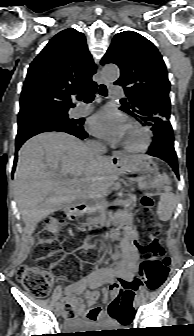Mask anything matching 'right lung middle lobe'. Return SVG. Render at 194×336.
Masks as SVG:
<instances>
[{"mask_svg":"<svg viewBox=\"0 0 194 336\" xmlns=\"http://www.w3.org/2000/svg\"><path fill=\"white\" fill-rule=\"evenodd\" d=\"M69 108L39 109L18 116V134L39 128H72L80 124L78 120L68 117Z\"/></svg>","mask_w":194,"mask_h":336,"instance_id":"dd1d6c3e","label":"right lung middle lobe"}]
</instances>
